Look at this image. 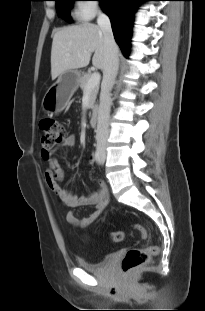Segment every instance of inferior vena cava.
<instances>
[{
  "label": "inferior vena cava",
  "mask_w": 205,
  "mask_h": 311,
  "mask_svg": "<svg viewBox=\"0 0 205 311\" xmlns=\"http://www.w3.org/2000/svg\"><path fill=\"white\" fill-rule=\"evenodd\" d=\"M97 23L104 36L105 66L103 69V80L101 84L96 141L97 147L104 152L109 134L111 106L110 91L114 85L118 70V48L114 40L109 17L106 14L99 12Z\"/></svg>",
  "instance_id": "1"
}]
</instances>
